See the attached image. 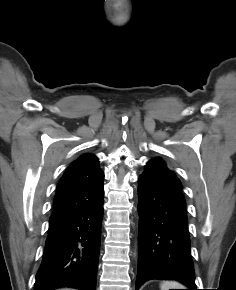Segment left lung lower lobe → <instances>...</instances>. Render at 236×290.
I'll return each instance as SVG.
<instances>
[{
    "instance_id": "obj_1",
    "label": "left lung lower lobe",
    "mask_w": 236,
    "mask_h": 290,
    "mask_svg": "<svg viewBox=\"0 0 236 290\" xmlns=\"http://www.w3.org/2000/svg\"><path fill=\"white\" fill-rule=\"evenodd\" d=\"M138 197L141 224L136 290L150 279H175L188 290H197L181 189L141 175Z\"/></svg>"
}]
</instances>
